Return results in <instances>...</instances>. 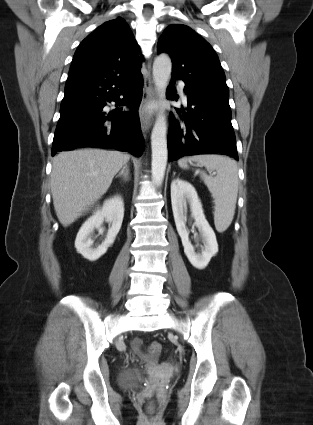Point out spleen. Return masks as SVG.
I'll list each match as a JSON object with an SVG mask.
<instances>
[{
	"label": "spleen",
	"instance_id": "3e777b00",
	"mask_svg": "<svg viewBox=\"0 0 313 425\" xmlns=\"http://www.w3.org/2000/svg\"><path fill=\"white\" fill-rule=\"evenodd\" d=\"M188 162H197L209 170H215L212 177L200 172V177L210 191L214 203V223L218 232H224L231 224L238 194V167L234 160L221 155H196L179 159L178 165L188 168Z\"/></svg>",
	"mask_w": 313,
	"mask_h": 425
}]
</instances>
